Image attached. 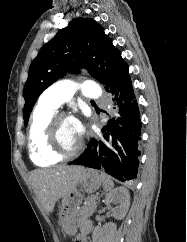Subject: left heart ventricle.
I'll list each match as a JSON object with an SVG mask.
<instances>
[{
  "label": "left heart ventricle",
  "mask_w": 187,
  "mask_h": 242,
  "mask_svg": "<svg viewBox=\"0 0 187 242\" xmlns=\"http://www.w3.org/2000/svg\"><path fill=\"white\" fill-rule=\"evenodd\" d=\"M56 142L57 146L63 151H71L77 146L79 136L72 125L71 119L59 122L56 128Z\"/></svg>",
  "instance_id": "1"
}]
</instances>
